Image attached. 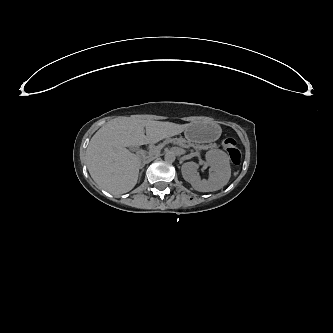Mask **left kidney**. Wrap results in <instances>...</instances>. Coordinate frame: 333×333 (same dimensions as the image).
Masks as SVG:
<instances>
[{
    "instance_id": "5707ae66",
    "label": "left kidney",
    "mask_w": 333,
    "mask_h": 333,
    "mask_svg": "<svg viewBox=\"0 0 333 333\" xmlns=\"http://www.w3.org/2000/svg\"><path fill=\"white\" fill-rule=\"evenodd\" d=\"M206 164L209 168V178L201 179L199 164L194 161L182 165L183 178L199 192H213L224 187L231 176V167L226 154L222 150H209L205 154Z\"/></svg>"
}]
</instances>
